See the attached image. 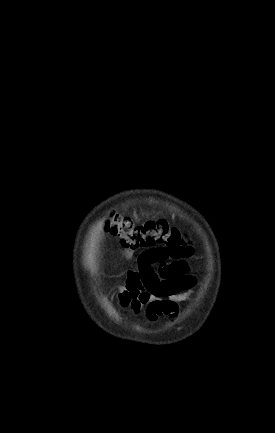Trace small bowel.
<instances>
[{"label":"small bowel","instance_id":"1","mask_svg":"<svg viewBox=\"0 0 275 433\" xmlns=\"http://www.w3.org/2000/svg\"><path fill=\"white\" fill-rule=\"evenodd\" d=\"M122 253L134 259L136 266L124 274V283L116 287L120 305L135 313L143 311L150 320L161 316L173 320L179 303L197 284L188 263L166 261L164 248L148 249L136 257L131 250Z\"/></svg>","mask_w":275,"mask_h":433}]
</instances>
